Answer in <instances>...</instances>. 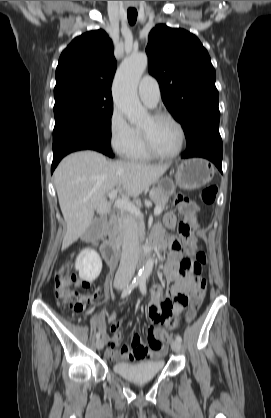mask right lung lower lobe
Masks as SVG:
<instances>
[{"instance_id":"right-lung-lower-lobe-1","label":"right lung lower lobe","mask_w":271,"mask_h":418,"mask_svg":"<svg viewBox=\"0 0 271 418\" xmlns=\"http://www.w3.org/2000/svg\"><path fill=\"white\" fill-rule=\"evenodd\" d=\"M91 149L99 151L109 157H113L110 147V136L103 132H91L84 135L69 137L53 143V163L51 172L54 171L59 161L67 154Z\"/></svg>"}]
</instances>
